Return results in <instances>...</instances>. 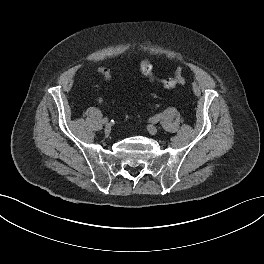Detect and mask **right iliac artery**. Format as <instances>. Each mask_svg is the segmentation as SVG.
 <instances>
[{
    "instance_id": "82829eb1",
    "label": "right iliac artery",
    "mask_w": 264,
    "mask_h": 264,
    "mask_svg": "<svg viewBox=\"0 0 264 264\" xmlns=\"http://www.w3.org/2000/svg\"><path fill=\"white\" fill-rule=\"evenodd\" d=\"M102 121H103L104 124H107L108 123V118L105 117V118H103Z\"/></svg>"
}]
</instances>
